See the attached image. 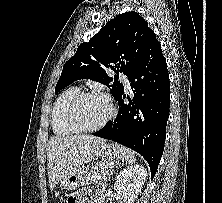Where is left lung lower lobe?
Wrapping results in <instances>:
<instances>
[{"instance_id":"left-lung-lower-lobe-1","label":"left lung lower lobe","mask_w":222,"mask_h":203,"mask_svg":"<svg viewBox=\"0 0 222 203\" xmlns=\"http://www.w3.org/2000/svg\"><path fill=\"white\" fill-rule=\"evenodd\" d=\"M134 97L124 103L125 94L117 98L119 111L113 122L93 135L113 140L140 153L154 177L164 150L169 116L170 85L166 59L153 31L142 57L128 75Z\"/></svg>"}]
</instances>
